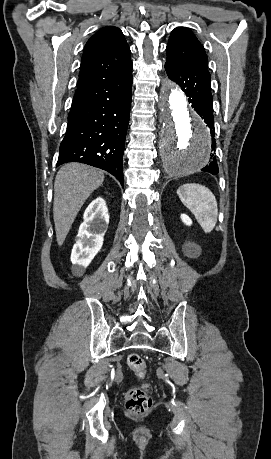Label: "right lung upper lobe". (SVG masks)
<instances>
[{"label": "right lung upper lobe", "mask_w": 271, "mask_h": 459, "mask_svg": "<svg viewBox=\"0 0 271 459\" xmlns=\"http://www.w3.org/2000/svg\"><path fill=\"white\" fill-rule=\"evenodd\" d=\"M132 68L130 48L122 31L113 26L98 30L85 45L74 98L131 73Z\"/></svg>", "instance_id": "right-lung-upper-lobe-1"}]
</instances>
